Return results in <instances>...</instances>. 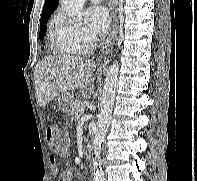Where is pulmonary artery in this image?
Instances as JSON below:
<instances>
[{
	"mask_svg": "<svg viewBox=\"0 0 197 181\" xmlns=\"http://www.w3.org/2000/svg\"><path fill=\"white\" fill-rule=\"evenodd\" d=\"M92 3L98 4L100 2H102V0H90Z\"/></svg>",
	"mask_w": 197,
	"mask_h": 181,
	"instance_id": "pulmonary-artery-1",
	"label": "pulmonary artery"
}]
</instances>
